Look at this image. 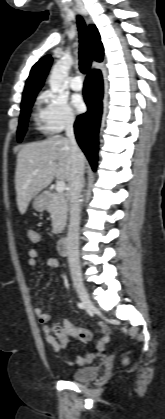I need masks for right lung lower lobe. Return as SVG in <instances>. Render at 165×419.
Instances as JSON below:
<instances>
[{
    "instance_id": "right-lung-lower-lobe-1",
    "label": "right lung lower lobe",
    "mask_w": 165,
    "mask_h": 419,
    "mask_svg": "<svg viewBox=\"0 0 165 419\" xmlns=\"http://www.w3.org/2000/svg\"><path fill=\"white\" fill-rule=\"evenodd\" d=\"M84 99L88 111L77 117L75 135L92 168L96 169L98 133L102 115L103 79L100 70H92L84 83Z\"/></svg>"
}]
</instances>
